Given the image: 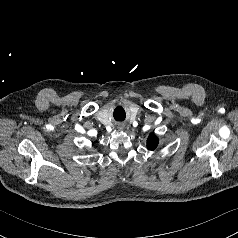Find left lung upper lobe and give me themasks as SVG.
Wrapping results in <instances>:
<instances>
[{
	"mask_svg": "<svg viewBox=\"0 0 238 238\" xmlns=\"http://www.w3.org/2000/svg\"><path fill=\"white\" fill-rule=\"evenodd\" d=\"M158 143L159 139L157 138V136L151 133L147 139V148L149 150H154L157 147Z\"/></svg>",
	"mask_w": 238,
	"mask_h": 238,
	"instance_id": "left-lung-upper-lobe-1",
	"label": "left lung upper lobe"
}]
</instances>
